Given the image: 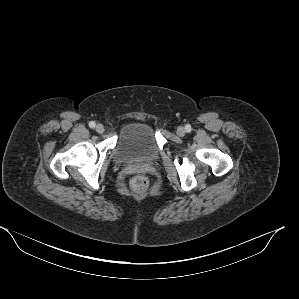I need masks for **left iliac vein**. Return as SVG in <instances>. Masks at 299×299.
Listing matches in <instances>:
<instances>
[{
  "label": "left iliac vein",
  "instance_id": "1",
  "mask_svg": "<svg viewBox=\"0 0 299 299\" xmlns=\"http://www.w3.org/2000/svg\"><path fill=\"white\" fill-rule=\"evenodd\" d=\"M177 134H178L179 136H183V135L185 134V129H184L183 127H179V128L177 129Z\"/></svg>",
  "mask_w": 299,
  "mask_h": 299
}]
</instances>
